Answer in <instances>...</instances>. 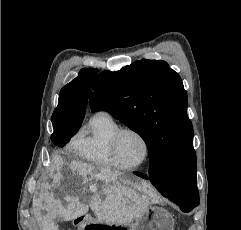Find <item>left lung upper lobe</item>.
Here are the masks:
<instances>
[{
  "label": "left lung upper lobe",
  "instance_id": "left-lung-upper-lobe-1",
  "mask_svg": "<svg viewBox=\"0 0 241 230\" xmlns=\"http://www.w3.org/2000/svg\"><path fill=\"white\" fill-rule=\"evenodd\" d=\"M90 96L93 112L105 110L137 132L149 158L167 162L165 192L187 198L197 187L193 127L180 76L165 61L141 60L98 75Z\"/></svg>",
  "mask_w": 241,
  "mask_h": 230
}]
</instances>
